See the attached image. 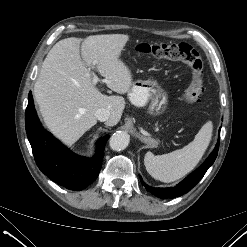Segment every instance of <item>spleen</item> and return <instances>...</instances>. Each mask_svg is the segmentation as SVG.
<instances>
[{"mask_svg":"<svg viewBox=\"0 0 247 247\" xmlns=\"http://www.w3.org/2000/svg\"><path fill=\"white\" fill-rule=\"evenodd\" d=\"M213 124L206 122L194 140L182 149L168 154L147 152L144 164L147 172L161 182H173L191 172L199 163L212 138Z\"/></svg>","mask_w":247,"mask_h":247,"instance_id":"1","label":"spleen"}]
</instances>
